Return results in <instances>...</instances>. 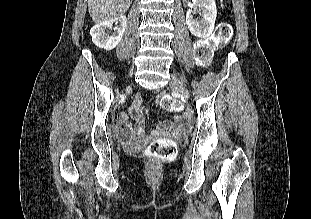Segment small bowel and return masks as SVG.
<instances>
[{"label":"small bowel","instance_id":"1","mask_svg":"<svg viewBox=\"0 0 311 219\" xmlns=\"http://www.w3.org/2000/svg\"><path fill=\"white\" fill-rule=\"evenodd\" d=\"M141 102V96L136 95L130 104L129 110L132 118L135 120V125L129 132L125 131L121 134V139L124 142H136L145 137V118L140 110ZM120 123L122 125H127L128 117L122 115ZM164 128L168 129L174 137H182L187 130L183 119L180 116H175L172 123Z\"/></svg>","mask_w":311,"mask_h":219}]
</instances>
